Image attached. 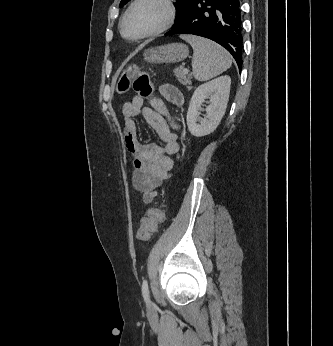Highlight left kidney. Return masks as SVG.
Wrapping results in <instances>:
<instances>
[{
    "label": "left kidney",
    "mask_w": 333,
    "mask_h": 346,
    "mask_svg": "<svg viewBox=\"0 0 333 346\" xmlns=\"http://www.w3.org/2000/svg\"><path fill=\"white\" fill-rule=\"evenodd\" d=\"M230 85L231 78L225 75L196 88L189 104L186 119L188 129L193 136L203 137L217 128L227 108ZM205 99H209V105L205 109L206 116L201 118L199 111Z\"/></svg>",
    "instance_id": "5707ae66"
}]
</instances>
